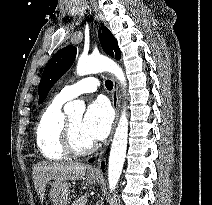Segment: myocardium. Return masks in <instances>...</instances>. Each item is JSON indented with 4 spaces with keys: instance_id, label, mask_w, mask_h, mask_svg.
<instances>
[{
    "instance_id": "myocardium-1",
    "label": "myocardium",
    "mask_w": 212,
    "mask_h": 205,
    "mask_svg": "<svg viewBox=\"0 0 212 205\" xmlns=\"http://www.w3.org/2000/svg\"><path fill=\"white\" fill-rule=\"evenodd\" d=\"M61 143L64 151L71 156H85L92 153L95 149L93 143L89 144L86 147H78L76 145L73 138L70 121L67 118L65 119L62 130Z\"/></svg>"
}]
</instances>
